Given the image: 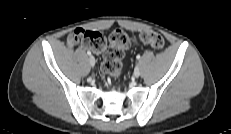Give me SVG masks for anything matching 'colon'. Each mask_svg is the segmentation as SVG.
I'll return each mask as SVG.
<instances>
[{"label":"colon","mask_w":231,"mask_h":134,"mask_svg":"<svg viewBox=\"0 0 231 134\" xmlns=\"http://www.w3.org/2000/svg\"><path fill=\"white\" fill-rule=\"evenodd\" d=\"M73 34L75 41L80 42L94 53L103 52V70L112 77L119 76L124 50L129 47L131 42L124 31L120 29L115 30L110 35L109 45H107L105 37L98 31L77 29ZM135 42H140L157 50L164 47L163 37L155 31L142 32Z\"/></svg>","instance_id":"obj_1"}]
</instances>
